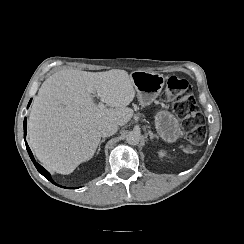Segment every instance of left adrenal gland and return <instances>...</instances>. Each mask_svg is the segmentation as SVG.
Masks as SVG:
<instances>
[{
  "label": "left adrenal gland",
  "mask_w": 244,
  "mask_h": 244,
  "mask_svg": "<svg viewBox=\"0 0 244 244\" xmlns=\"http://www.w3.org/2000/svg\"><path fill=\"white\" fill-rule=\"evenodd\" d=\"M150 139H153L154 137L158 139V136L156 134H153L151 131H149Z\"/></svg>",
  "instance_id": "left-adrenal-gland-1"
}]
</instances>
